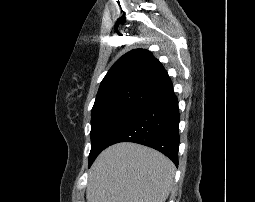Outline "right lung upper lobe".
I'll return each mask as SVG.
<instances>
[{
  "mask_svg": "<svg viewBox=\"0 0 255 202\" xmlns=\"http://www.w3.org/2000/svg\"><path fill=\"white\" fill-rule=\"evenodd\" d=\"M173 92L162 64L145 49L132 50L110 68L101 82L92 116L114 110H140Z\"/></svg>",
  "mask_w": 255,
  "mask_h": 202,
  "instance_id": "right-lung-upper-lobe-1",
  "label": "right lung upper lobe"
}]
</instances>
